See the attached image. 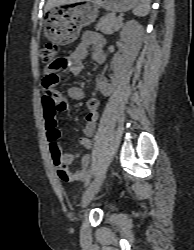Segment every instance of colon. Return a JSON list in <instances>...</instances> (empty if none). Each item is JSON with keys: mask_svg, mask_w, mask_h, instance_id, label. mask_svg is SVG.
<instances>
[{"mask_svg": "<svg viewBox=\"0 0 194 250\" xmlns=\"http://www.w3.org/2000/svg\"><path fill=\"white\" fill-rule=\"evenodd\" d=\"M57 45L54 43H46L40 49V58L43 63L49 65L57 70L62 64V60L57 58ZM45 82L50 86L58 84L59 77L57 74H51L45 78ZM43 109L46 114H53L58 109V104L50 94H45L43 97ZM58 175L65 181L70 179V172L65 165H63L59 158L55 160Z\"/></svg>", "mask_w": 194, "mask_h": 250, "instance_id": "1", "label": "colon"}]
</instances>
